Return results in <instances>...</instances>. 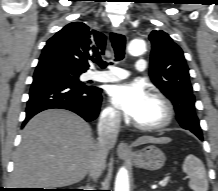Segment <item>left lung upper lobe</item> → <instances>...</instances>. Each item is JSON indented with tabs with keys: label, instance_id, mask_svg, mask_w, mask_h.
Listing matches in <instances>:
<instances>
[{
	"label": "left lung upper lobe",
	"instance_id": "1",
	"mask_svg": "<svg viewBox=\"0 0 218 191\" xmlns=\"http://www.w3.org/2000/svg\"><path fill=\"white\" fill-rule=\"evenodd\" d=\"M149 39L152 43V82L173 103L180 125L195 135H202L195 114V97L190 84L189 69L182 49L162 30H153Z\"/></svg>",
	"mask_w": 218,
	"mask_h": 191
}]
</instances>
